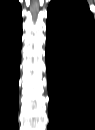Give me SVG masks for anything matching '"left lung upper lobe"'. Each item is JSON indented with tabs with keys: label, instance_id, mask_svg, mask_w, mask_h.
<instances>
[{
	"label": "left lung upper lobe",
	"instance_id": "1",
	"mask_svg": "<svg viewBox=\"0 0 95 130\" xmlns=\"http://www.w3.org/2000/svg\"><path fill=\"white\" fill-rule=\"evenodd\" d=\"M48 12L85 14L91 16L88 5L78 0H53L49 5Z\"/></svg>",
	"mask_w": 95,
	"mask_h": 130
}]
</instances>
